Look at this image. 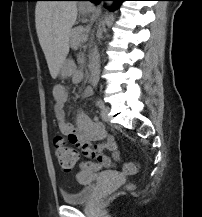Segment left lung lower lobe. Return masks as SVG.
Returning a JSON list of instances; mask_svg holds the SVG:
<instances>
[{
	"label": "left lung lower lobe",
	"instance_id": "obj_1",
	"mask_svg": "<svg viewBox=\"0 0 202 217\" xmlns=\"http://www.w3.org/2000/svg\"><path fill=\"white\" fill-rule=\"evenodd\" d=\"M86 1H91L93 3L98 4L100 1H116V2H120V1H125V0H86ZM116 7V5L114 6V8Z\"/></svg>",
	"mask_w": 202,
	"mask_h": 217
}]
</instances>
